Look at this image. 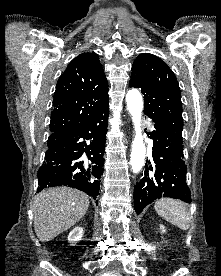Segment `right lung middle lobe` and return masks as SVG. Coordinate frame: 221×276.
<instances>
[{"mask_svg": "<svg viewBox=\"0 0 221 276\" xmlns=\"http://www.w3.org/2000/svg\"><path fill=\"white\" fill-rule=\"evenodd\" d=\"M63 138L61 137H49L48 138V148L57 145L59 142H61Z\"/></svg>", "mask_w": 221, "mask_h": 276, "instance_id": "right-lung-middle-lobe-1", "label": "right lung middle lobe"}]
</instances>
